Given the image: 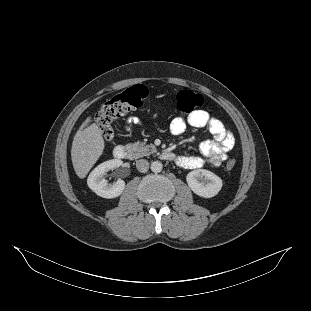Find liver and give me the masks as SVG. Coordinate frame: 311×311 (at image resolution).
Here are the masks:
<instances>
[{
    "mask_svg": "<svg viewBox=\"0 0 311 311\" xmlns=\"http://www.w3.org/2000/svg\"><path fill=\"white\" fill-rule=\"evenodd\" d=\"M89 123V120L85 122ZM104 141L95 123L83 125L77 131L72 143V162L77 175L85 177L89 169L102 153Z\"/></svg>",
    "mask_w": 311,
    "mask_h": 311,
    "instance_id": "1",
    "label": "liver"
}]
</instances>
